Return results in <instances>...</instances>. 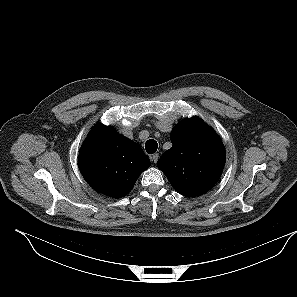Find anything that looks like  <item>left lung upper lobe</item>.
<instances>
[{"instance_id": "obj_1", "label": "left lung upper lobe", "mask_w": 297, "mask_h": 297, "mask_svg": "<svg viewBox=\"0 0 297 297\" xmlns=\"http://www.w3.org/2000/svg\"><path fill=\"white\" fill-rule=\"evenodd\" d=\"M172 148L158 160V168L181 195L200 196L219 180L225 148L218 135L199 117L185 119L171 132Z\"/></svg>"}]
</instances>
